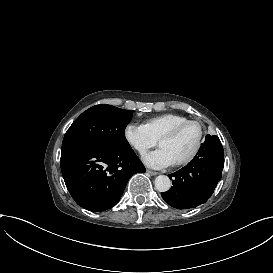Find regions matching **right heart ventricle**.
I'll return each mask as SVG.
<instances>
[{
  "mask_svg": "<svg viewBox=\"0 0 273 273\" xmlns=\"http://www.w3.org/2000/svg\"><path fill=\"white\" fill-rule=\"evenodd\" d=\"M189 120H190L189 117L181 114L167 113L146 120L144 122V125L152 134V136L156 140H159L163 133Z\"/></svg>",
  "mask_w": 273,
  "mask_h": 273,
  "instance_id": "right-heart-ventricle-1",
  "label": "right heart ventricle"
}]
</instances>
